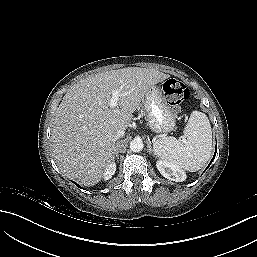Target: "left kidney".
Segmentation results:
<instances>
[{
	"instance_id": "obj_1",
	"label": "left kidney",
	"mask_w": 257,
	"mask_h": 257,
	"mask_svg": "<svg viewBox=\"0 0 257 257\" xmlns=\"http://www.w3.org/2000/svg\"><path fill=\"white\" fill-rule=\"evenodd\" d=\"M156 166L161 175L169 180L181 182L186 179V174L182 169L167 161L158 160Z\"/></svg>"
}]
</instances>
